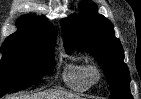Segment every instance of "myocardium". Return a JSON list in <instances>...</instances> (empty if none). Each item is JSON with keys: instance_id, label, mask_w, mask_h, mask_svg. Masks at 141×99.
<instances>
[{"instance_id": "myocardium-1", "label": "myocardium", "mask_w": 141, "mask_h": 99, "mask_svg": "<svg viewBox=\"0 0 141 99\" xmlns=\"http://www.w3.org/2000/svg\"><path fill=\"white\" fill-rule=\"evenodd\" d=\"M87 77L91 84L97 83L102 77L101 69L95 64L88 65Z\"/></svg>"}]
</instances>
